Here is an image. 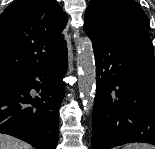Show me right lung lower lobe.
<instances>
[{
    "instance_id": "98d812e1",
    "label": "right lung lower lobe",
    "mask_w": 155,
    "mask_h": 149,
    "mask_svg": "<svg viewBox=\"0 0 155 149\" xmlns=\"http://www.w3.org/2000/svg\"><path fill=\"white\" fill-rule=\"evenodd\" d=\"M67 66L65 53L56 62L25 74L19 87L0 90V133L24 140L36 149H55ZM31 89L40 91L39 96H31Z\"/></svg>"
}]
</instances>
